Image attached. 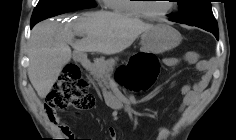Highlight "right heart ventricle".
Returning a JSON list of instances; mask_svg holds the SVG:
<instances>
[{
    "mask_svg": "<svg viewBox=\"0 0 236 140\" xmlns=\"http://www.w3.org/2000/svg\"><path fill=\"white\" fill-rule=\"evenodd\" d=\"M135 0H107V6L115 11L116 13L140 16L136 9V4L133 3Z\"/></svg>",
    "mask_w": 236,
    "mask_h": 140,
    "instance_id": "right-heart-ventricle-1",
    "label": "right heart ventricle"
}]
</instances>
